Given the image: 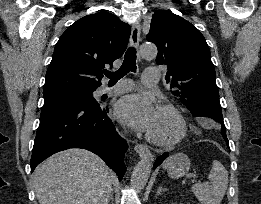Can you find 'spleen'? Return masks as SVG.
<instances>
[{
  "label": "spleen",
  "mask_w": 261,
  "mask_h": 204,
  "mask_svg": "<svg viewBox=\"0 0 261 204\" xmlns=\"http://www.w3.org/2000/svg\"><path fill=\"white\" fill-rule=\"evenodd\" d=\"M209 183L192 186V192L201 204H220L228 185V172L217 160L212 163L208 175Z\"/></svg>",
  "instance_id": "1"
}]
</instances>
